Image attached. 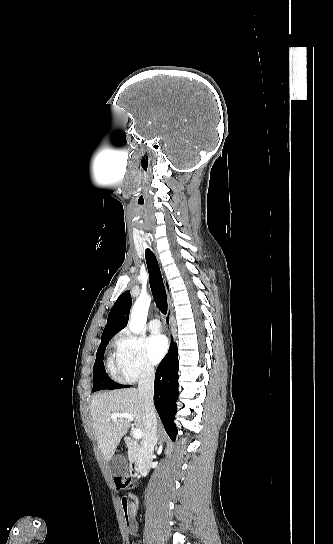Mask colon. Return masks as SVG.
Returning a JSON list of instances; mask_svg holds the SVG:
<instances>
[{"mask_svg": "<svg viewBox=\"0 0 333 544\" xmlns=\"http://www.w3.org/2000/svg\"><path fill=\"white\" fill-rule=\"evenodd\" d=\"M115 484L118 489L120 490H128L131 489L133 486L132 479L128 476H121L115 478ZM122 499H127L126 497H123Z\"/></svg>", "mask_w": 333, "mask_h": 544, "instance_id": "colon-1", "label": "colon"}]
</instances>
